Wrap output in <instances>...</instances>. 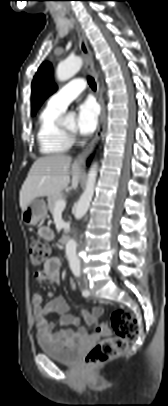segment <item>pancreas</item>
Instances as JSON below:
<instances>
[{"instance_id":"obj_1","label":"pancreas","mask_w":168,"mask_h":406,"mask_svg":"<svg viewBox=\"0 0 168 406\" xmlns=\"http://www.w3.org/2000/svg\"><path fill=\"white\" fill-rule=\"evenodd\" d=\"M62 199H63V194H58L57 196L48 198V209L51 213H53L55 211V203L58 200H62Z\"/></svg>"}]
</instances>
